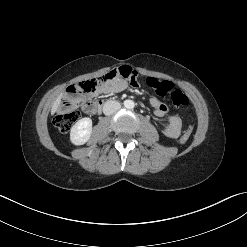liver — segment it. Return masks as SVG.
Listing matches in <instances>:
<instances>
[{"label":"liver","instance_id":"1","mask_svg":"<svg viewBox=\"0 0 247 247\" xmlns=\"http://www.w3.org/2000/svg\"><path fill=\"white\" fill-rule=\"evenodd\" d=\"M61 97H62V94H60L58 96V98L53 102V105H52V108H51V114L53 115L55 112L58 111L59 109V106L61 104Z\"/></svg>","mask_w":247,"mask_h":247}]
</instances>
